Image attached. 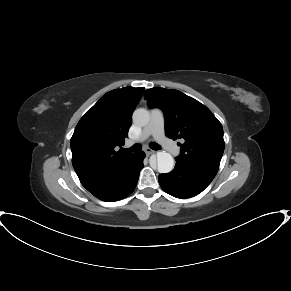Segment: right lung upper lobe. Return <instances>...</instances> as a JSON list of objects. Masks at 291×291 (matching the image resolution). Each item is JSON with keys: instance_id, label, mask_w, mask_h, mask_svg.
Wrapping results in <instances>:
<instances>
[{"instance_id": "obj_1", "label": "right lung upper lobe", "mask_w": 291, "mask_h": 291, "mask_svg": "<svg viewBox=\"0 0 291 291\" xmlns=\"http://www.w3.org/2000/svg\"><path fill=\"white\" fill-rule=\"evenodd\" d=\"M143 93V87L107 92L80 119L70 142L72 164L79 179L114 169L133 155L116 152L114 147L124 144L132 113Z\"/></svg>"}]
</instances>
